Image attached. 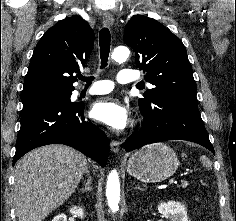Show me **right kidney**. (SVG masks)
Here are the masks:
<instances>
[{
  "mask_svg": "<svg viewBox=\"0 0 236 221\" xmlns=\"http://www.w3.org/2000/svg\"><path fill=\"white\" fill-rule=\"evenodd\" d=\"M70 213L74 216H78L81 219L84 218V209L82 207H73L70 209ZM52 221H67V216L65 214H59L53 218Z\"/></svg>",
  "mask_w": 236,
  "mask_h": 221,
  "instance_id": "ca27d5eb",
  "label": "right kidney"
}]
</instances>
